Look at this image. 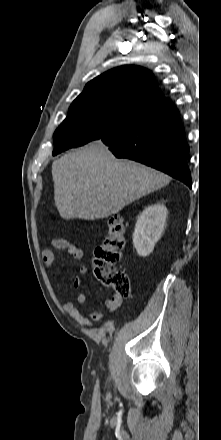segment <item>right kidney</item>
I'll return each instance as SVG.
<instances>
[{"instance_id": "right-kidney-1", "label": "right kidney", "mask_w": 221, "mask_h": 440, "mask_svg": "<svg viewBox=\"0 0 221 440\" xmlns=\"http://www.w3.org/2000/svg\"><path fill=\"white\" fill-rule=\"evenodd\" d=\"M168 211L163 204L147 207L138 217L133 233L134 247L141 257L148 256L160 239Z\"/></svg>"}]
</instances>
